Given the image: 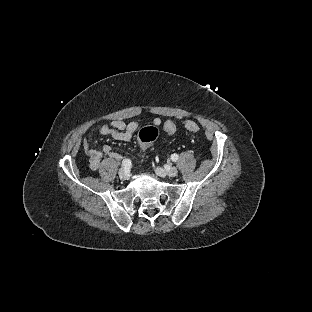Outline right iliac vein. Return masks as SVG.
I'll return each mask as SVG.
<instances>
[{"label":"right iliac vein","mask_w":312,"mask_h":312,"mask_svg":"<svg viewBox=\"0 0 312 312\" xmlns=\"http://www.w3.org/2000/svg\"><path fill=\"white\" fill-rule=\"evenodd\" d=\"M119 178L121 180H128L130 178L129 171L127 168H121L119 170Z\"/></svg>","instance_id":"obj_1"}]
</instances>
